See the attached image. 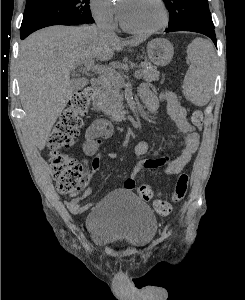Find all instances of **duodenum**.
<instances>
[{
    "instance_id": "obj_1",
    "label": "duodenum",
    "mask_w": 245,
    "mask_h": 300,
    "mask_svg": "<svg viewBox=\"0 0 245 300\" xmlns=\"http://www.w3.org/2000/svg\"><path fill=\"white\" fill-rule=\"evenodd\" d=\"M91 87L93 90V103L92 108L96 113H100L102 110L101 102H100V94L103 91V82L100 78H92Z\"/></svg>"
}]
</instances>
